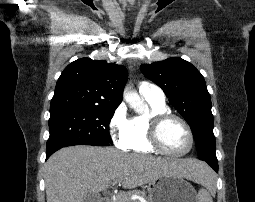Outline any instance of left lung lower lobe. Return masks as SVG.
<instances>
[{
  "label": "left lung lower lobe",
  "instance_id": "1",
  "mask_svg": "<svg viewBox=\"0 0 255 202\" xmlns=\"http://www.w3.org/2000/svg\"><path fill=\"white\" fill-rule=\"evenodd\" d=\"M203 161H206L216 172H218V162L217 161H213L210 159H206Z\"/></svg>",
  "mask_w": 255,
  "mask_h": 202
}]
</instances>
